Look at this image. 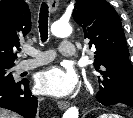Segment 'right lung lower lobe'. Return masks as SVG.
<instances>
[{"mask_svg": "<svg viewBox=\"0 0 133 118\" xmlns=\"http://www.w3.org/2000/svg\"><path fill=\"white\" fill-rule=\"evenodd\" d=\"M37 98L31 94L29 81L0 85V107L12 110L26 118H35Z\"/></svg>", "mask_w": 133, "mask_h": 118, "instance_id": "right-lung-lower-lobe-1", "label": "right lung lower lobe"}]
</instances>
